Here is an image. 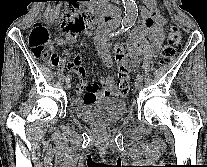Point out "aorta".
<instances>
[{
    "label": "aorta",
    "mask_w": 207,
    "mask_h": 167,
    "mask_svg": "<svg viewBox=\"0 0 207 167\" xmlns=\"http://www.w3.org/2000/svg\"><path fill=\"white\" fill-rule=\"evenodd\" d=\"M122 1L125 8V16L121 21L120 31L124 32L134 25L137 19L138 10L134 0H122Z\"/></svg>",
    "instance_id": "aorta-1"
}]
</instances>
